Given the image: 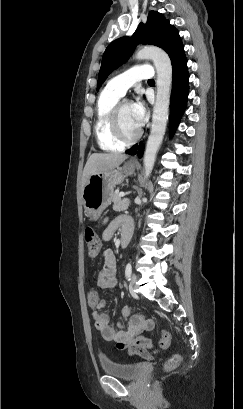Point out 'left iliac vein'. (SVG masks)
Here are the masks:
<instances>
[{"label": "left iliac vein", "mask_w": 243, "mask_h": 409, "mask_svg": "<svg viewBox=\"0 0 243 409\" xmlns=\"http://www.w3.org/2000/svg\"><path fill=\"white\" fill-rule=\"evenodd\" d=\"M137 282V275L132 274L130 277V284L133 286Z\"/></svg>", "instance_id": "left-iliac-vein-1"}]
</instances>
